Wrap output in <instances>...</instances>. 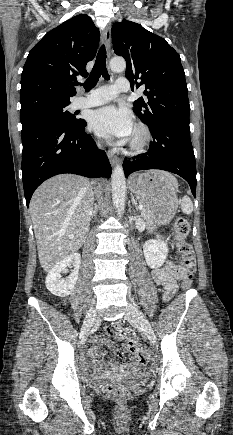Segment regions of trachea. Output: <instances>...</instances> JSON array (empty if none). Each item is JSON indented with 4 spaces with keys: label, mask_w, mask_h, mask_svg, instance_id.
Returning <instances> with one entry per match:
<instances>
[{
    "label": "trachea",
    "mask_w": 233,
    "mask_h": 435,
    "mask_svg": "<svg viewBox=\"0 0 233 435\" xmlns=\"http://www.w3.org/2000/svg\"><path fill=\"white\" fill-rule=\"evenodd\" d=\"M101 75L106 80L110 79V76L106 69V49L104 45H102L101 48L99 49L92 72L89 78L83 84L86 92L90 91L97 84Z\"/></svg>",
    "instance_id": "1"
}]
</instances>
